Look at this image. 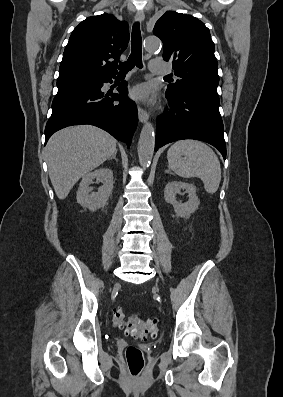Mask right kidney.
Instances as JSON below:
<instances>
[{
    "label": "right kidney",
    "instance_id": "obj_1",
    "mask_svg": "<svg viewBox=\"0 0 283 397\" xmlns=\"http://www.w3.org/2000/svg\"><path fill=\"white\" fill-rule=\"evenodd\" d=\"M94 179L101 180L103 183L96 193L92 192L93 188L90 187ZM113 184V172L109 168H99L85 174L77 192L78 203L91 211L104 207L112 195Z\"/></svg>",
    "mask_w": 283,
    "mask_h": 397
}]
</instances>
